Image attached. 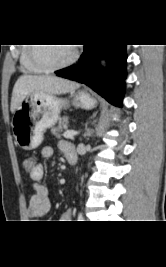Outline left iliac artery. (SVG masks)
Returning <instances> with one entry per match:
<instances>
[{"label": "left iliac artery", "instance_id": "obj_1", "mask_svg": "<svg viewBox=\"0 0 166 267\" xmlns=\"http://www.w3.org/2000/svg\"><path fill=\"white\" fill-rule=\"evenodd\" d=\"M83 219H84V218H83L82 213H79V214H78V221H83Z\"/></svg>", "mask_w": 166, "mask_h": 267}]
</instances>
